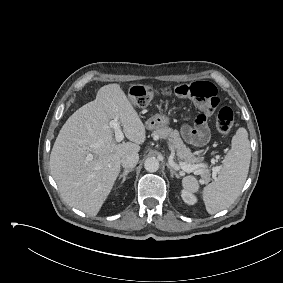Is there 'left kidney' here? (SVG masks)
<instances>
[{
	"label": "left kidney",
	"mask_w": 283,
	"mask_h": 283,
	"mask_svg": "<svg viewBox=\"0 0 283 283\" xmlns=\"http://www.w3.org/2000/svg\"><path fill=\"white\" fill-rule=\"evenodd\" d=\"M181 197L183 201L188 205H194L197 202V198L192 194V192L183 190L181 192Z\"/></svg>",
	"instance_id": "left-kidney-1"
}]
</instances>
